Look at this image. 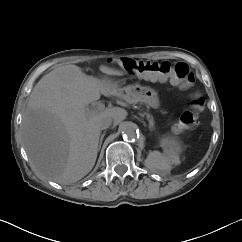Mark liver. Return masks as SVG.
I'll return each mask as SVG.
<instances>
[{
  "instance_id": "obj_1",
  "label": "liver",
  "mask_w": 242,
  "mask_h": 242,
  "mask_svg": "<svg viewBox=\"0 0 242 242\" xmlns=\"http://www.w3.org/2000/svg\"><path fill=\"white\" fill-rule=\"evenodd\" d=\"M99 70L107 75H123L104 65ZM101 94L135 103L127 100L122 88L110 79L88 76L72 64L52 70L35 85L23 114L22 137L38 174L70 184L92 170L98 153L100 119L109 116L117 125L127 116L120 107L87 115L86 107Z\"/></svg>"
}]
</instances>
